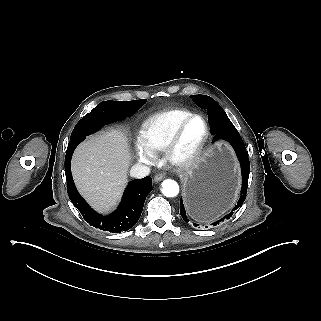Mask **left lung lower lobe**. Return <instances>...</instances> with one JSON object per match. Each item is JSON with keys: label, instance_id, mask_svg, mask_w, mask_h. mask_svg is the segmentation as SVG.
Here are the masks:
<instances>
[{"label": "left lung lower lobe", "instance_id": "obj_1", "mask_svg": "<svg viewBox=\"0 0 321 321\" xmlns=\"http://www.w3.org/2000/svg\"><path fill=\"white\" fill-rule=\"evenodd\" d=\"M207 114H208L209 124L211 127L210 132L211 134L214 135L213 141H216L218 139L227 140L233 146L241 164L242 188H241L240 199L238 200L237 205L234 207V210H236L243 204V202L246 199L248 178H249V172H250V163L248 159V154L246 152V148L240 134L238 133L234 125L231 123V121L229 120V118L227 117L224 111H221L215 108H210L207 110ZM180 214L183 220L188 223L189 219L186 216L182 198L180 200ZM232 215H233V211L227 214L221 220L213 223V225L216 226L217 224H219V222L223 221L224 219H229ZM193 225L195 227L197 226V224L195 223H193Z\"/></svg>", "mask_w": 321, "mask_h": 321}]
</instances>
